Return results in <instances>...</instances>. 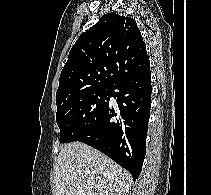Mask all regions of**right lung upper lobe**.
<instances>
[{
	"instance_id": "right-lung-upper-lobe-1",
	"label": "right lung upper lobe",
	"mask_w": 211,
	"mask_h": 195,
	"mask_svg": "<svg viewBox=\"0 0 211 195\" xmlns=\"http://www.w3.org/2000/svg\"><path fill=\"white\" fill-rule=\"evenodd\" d=\"M148 67L136 21L115 12L105 14L71 48L60 75L56 104L87 91L112 88L123 77Z\"/></svg>"
}]
</instances>
